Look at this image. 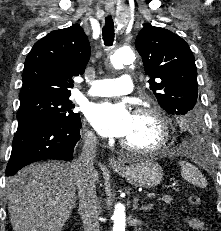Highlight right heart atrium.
I'll return each mask as SVG.
<instances>
[{
    "instance_id": "obj_1",
    "label": "right heart atrium",
    "mask_w": 221,
    "mask_h": 231,
    "mask_svg": "<svg viewBox=\"0 0 221 231\" xmlns=\"http://www.w3.org/2000/svg\"><path fill=\"white\" fill-rule=\"evenodd\" d=\"M87 139H88V140H92V141L95 139L92 132H88V133H87Z\"/></svg>"
}]
</instances>
